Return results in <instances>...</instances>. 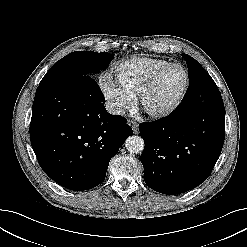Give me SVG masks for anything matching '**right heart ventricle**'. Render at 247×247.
<instances>
[{"label":"right heart ventricle","mask_w":247,"mask_h":247,"mask_svg":"<svg viewBox=\"0 0 247 247\" xmlns=\"http://www.w3.org/2000/svg\"><path fill=\"white\" fill-rule=\"evenodd\" d=\"M169 63L158 58L134 57L115 67V80L129 97H134L153 72Z\"/></svg>","instance_id":"e07e8e85"}]
</instances>
